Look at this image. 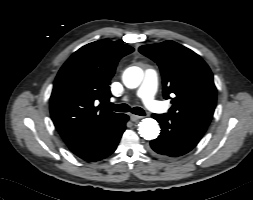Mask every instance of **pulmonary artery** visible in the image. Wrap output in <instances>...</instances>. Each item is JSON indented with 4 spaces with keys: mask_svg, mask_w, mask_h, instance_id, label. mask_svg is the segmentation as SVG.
Returning <instances> with one entry per match:
<instances>
[{
    "mask_svg": "<svg viewBox=\"0 0 253 200\" xmlns=\"http://www.w3.org/2000/svg\"><path fill=\"white\" fill-rule=\"evenodd\" d=\"M157 85V72L152 68H148L145 71L144 81L137 92L138 97L141 98L145 106L155 112H159L161 110L160 103L155 99Z\"/></svg>",
    "mask_w": 253,
    "mask_h": 200,
    "instance_id": "1",
    "label": "pulmonary artery"
}]
</instances>
